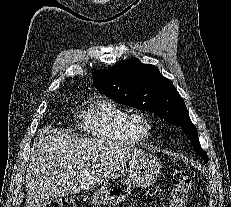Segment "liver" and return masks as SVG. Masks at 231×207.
Returning <instances> with one entry per match:
<instances>
[{"label": "liver", "mask_w": 231, "mask_h": 207, "mask_svg": "<svg viewBox=\"0 0 231 207\" xmlns=\"http://www.w3.org/2000/svg\"><path fill=\"white\" fill-rule=\"evenodd\" d=\"M138 154L123 144L82 138L63 129L38 130L26 173L25 207H42L50 196L93 189Z\"/></svg>", "instance_id": "obj_1"}]
</instances>
